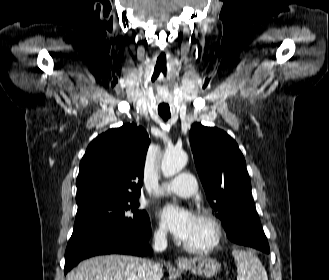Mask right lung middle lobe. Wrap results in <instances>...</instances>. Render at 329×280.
<instances>
[{"instance_id":"dd1d6c3e","label":"right lung middle lobe","mask_w":329,"mask_h":280,"mask_svg":"<svg viewBox=\"0 0 329 280\" xmlns=\"http://www.w3.org/2000/svg\"><path fill=\"white\" fill-rule=\"evenodd\" d=\"M78 210L72 237L92 228H110L128 235H138L150 226L148 214L139 210L137 196L94 195L76 198Z\"/></svg>"}]
</instances>
